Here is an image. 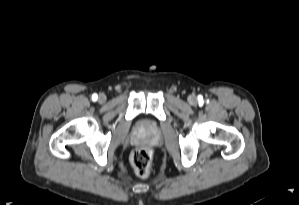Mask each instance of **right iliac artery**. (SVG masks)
I'll return each mask as SVG.
<instances>
[{
	"label": "right iliac artery",
	"mask_w": 299,
	"mask_h": 205,
	"mask_svg": "<svg viewBox=\"0 0 299 205\" xmlns=\"http://www.w3.org/2000/svg\"><path fill=\"white\" fill-rule=\"evenodd\" d=\"M97 98H98L97 94H93V95H92V100H93V101H96Z\"/></svg>",
	"instance_id": "right-iliac-artery-1"
}]
</instances>
